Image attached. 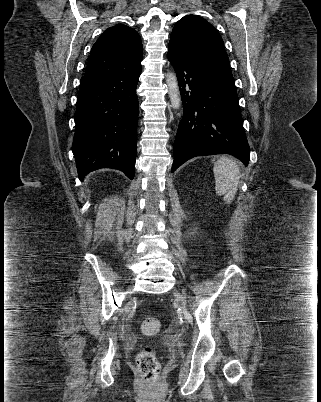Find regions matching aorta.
Wrapping results in <instances>:
<instances>
[{
    "label": "aorta",
    "mask_w": 321,
    "mask_h": 402,
    "mask_svg": "<svg viewBox=\"0 0 321 402\" xmlns=\"http://www.w3.org/2000/svg\"><path fill=\"white\" fill-rule=\"evenodd\" d=\"M168 85V95L173 109H178L181 105V96L178 81L174 73H168L166 77Z\"/></svg>",
    "instance_id": "obj_1"
}]
</instances>
